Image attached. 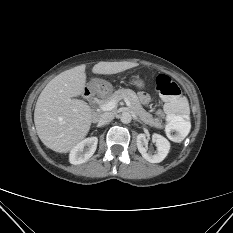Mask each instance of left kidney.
<instances>
[{"instance_id":"1","label":"left kidney","mask_w":233,"mask_h":233,"mask_svg":"<svg viewBox=\"0 0 233 233\" xmlns=\"http://www.w3.org/2000/svg\"><path fill=\"white\" fill-rule=\"evenodd\" d=\"M138 151L150 163H159L165 159L170 149V142L159 134L152 135V142L156 144L157 153L152 154L145 145L148 140L145 134H138L136 138Z\"/></svg>"}]
</instances>
